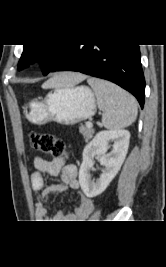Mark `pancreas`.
I'll return each instance as SVG.
<instances>
[{
    "label": "pancreas",
    "mask_w": 166,
    "mask_h": 267,
    "mask_svg": "<svg viewBox=\"0 0 166 267\" xmlns=\"http://www.w3.org/2000/svg\"><path fill=\"white\" fill-rule=\"evenodd\" d=\"M80 133L83 135L85 142H88L93 137L94 129L81 126Z\"/></svg>",
    "instance_id": "pancreas-1"
}]
</instances>
